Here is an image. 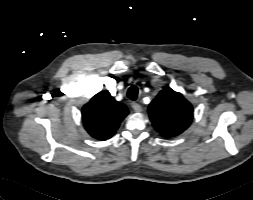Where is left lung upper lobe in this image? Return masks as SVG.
<instances>
[{"label": "left lung upper lobe", "instance_id": "1", "mask_svg": "<svg viewBox=\"0 0 253 200\" xmlns=\"http://www.w3.org/2000/svg\"><path fill=\"white\" fill-rule=\"evenodd\" d=\"M154 128L163 136H177L191 123L192 105L178 92L164 88L149 105Z\"/></svg>", "mask_w": 253, "mask_h": 200}]
</instances>
